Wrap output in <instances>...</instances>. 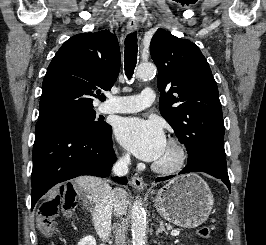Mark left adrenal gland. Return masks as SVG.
I'll use <instances>...</instances> for the list:
<instances>
[{"instance_id": "left-adrenal-gland-1", "label": "left adrenal gland", "mask_w": 266, "mask_h": 245, "mask_svg": "<svg viewBox=\"0 0 266 245\" xmlns=\"http://www.w3.org/2000/svg\"><path fill=\"white\" fill-rule=\"evenodd\" d=\"M159 233H165V235H168V233L164 227L163 221H160V227H159V229H157L156 235H159Z\"/></svg>"}]
</instances>
